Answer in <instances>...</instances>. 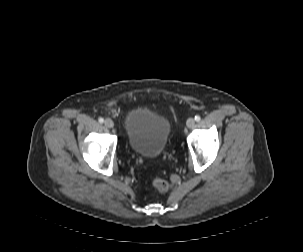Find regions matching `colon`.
I'll list each match as a JSON object with an SVG mask.
<instances>
[{
    "mask_svg": "<svg viewBox=\"0 0 303 252\" xmlns=\"http://www.w3.org/2000/svg\"><path fill=\"white\" fill-rule=\"evenodd\" d=\"M153 185L158 193H165L169 189V183L165 179L157 178L153 181Z\"/></svg>",
    "mask_w": 303,
    "mask_h": 252,
    "instance_id": "obj_1",
    "label": "colon"
}]
</instances>
